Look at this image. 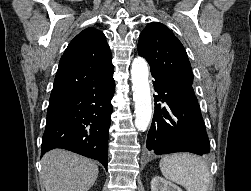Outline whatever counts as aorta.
<instances>
[{
    "instance_id": "aorta-1",
    "label": "aorta",
    "mask_w": 251,
    "mask_h": 191,
    "mask_svg": "<svg viewBox=\"0 0 251 191\" xmlns=\"http://www.w3.org/2000/svg\"><path fill=\"white\" fill-rule=\"evenodd\" d=\"M148 76V66L144 58H134L131 66V78L133 99L135 101V127L139 131L147 129L152 115Z\"/></svg>"
}]
</instances>
